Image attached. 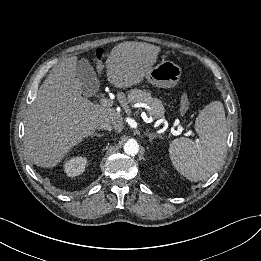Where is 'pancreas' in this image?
<instances>
[{
  "label": "pancreas",
  "mask_w": 261,
  "mask_h": 261,
  "mask_svg": "<svg viewBox=\"0 0 261 261\" xmlns=\"http://www.w3.org/2000/svg\"><path fill=\"white\" fill-rule=\"evenodd\" d=\"M119 101L123 104L142 102L150 107V114L154 119L164 118V106L161 100L153 98L150 93L139 89H131L127 95L119 94Z\"/></svg>",
  "instance_id": "pancreas-1"
}]
</instances>
